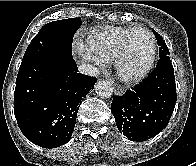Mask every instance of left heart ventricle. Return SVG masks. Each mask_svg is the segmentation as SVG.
Returning <instances> with one entry per match:
<instances>
[{
	"label": "left heart ventricle",
	"mask_w": 196,
	"mask_h": 166,
	"mask_svg": "<svg viewBox=\"0 0 196 166\" xmlns=\"http://www.w3.org/2000/svg\"><path fill=\"white\" fill-rule=\"evenodd\" d=\"M151 43L144 32L135 33L129 43V52L123 63V71L132 74L143 68L150 56Z\"/></svg>",
	"instance_id": "left-heart-ventricle-1"
}]
</instances>
